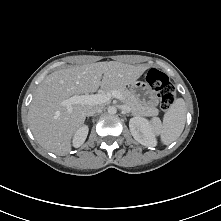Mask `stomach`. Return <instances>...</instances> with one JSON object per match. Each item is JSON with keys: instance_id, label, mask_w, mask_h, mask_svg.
I'll list each match as a JSON object with an SVG mask.
<instances>
[{"instance_id": "1", "label": "stomach", "mask_w": 221, "mask_h": 221, "mask_svg": "<svg viewBox=\"0 0 221 221\" xmlns=\"http://www.w3.org/2000/svg\"><path fill=\"white\" fill-rule=\"evenodd\" d=\"M130 90L140 102L148 105L147 98L150 94V87L146 82L135 81L130 84Z\"/></svg>"}]
</instances>
